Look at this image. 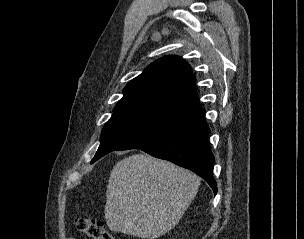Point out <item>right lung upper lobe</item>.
<instances>
[{"label":"right lung upper lobe","mask_w":304,"mask_h":239,"mask_svg":"<svg viewBox=\"0 0 304 239\" xmlns=\"http://www.w3.org/2000/svg\"><path fill=\"white\" fill-rule=\"evenodd\" d=\"M190 65L175 55L151 63L124 88L115 112L144 111L168 120L201 108Z\"/></svg>","instance_id":"right-lung-upper-lobe-1"}]
</instances>
